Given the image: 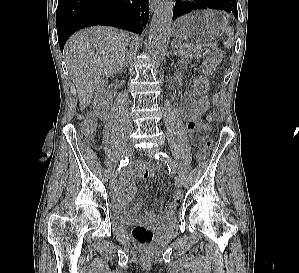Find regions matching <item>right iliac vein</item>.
Instances as JSON below:
<instances>
[{
  "label": "right iliac vein",
  "mask_w": 299,
  "mask_h": 273,
  "mask_svg": "<svg viewBox=\"0 0 299 273\" xmlns=\"http://www.w3.org/2000/svg\"><path fill=\"white\" fill-rule=\"evenodd\" d=\"M134 152V148L131 144H129L123 151V156L122 158H126V157H129L133 154ZM117 183H118V178H117V175H112L111 179H110V188L113 190L116 188L117 186Z\"/></svg>",
  "instance_id": "1"
}]
</instances>
